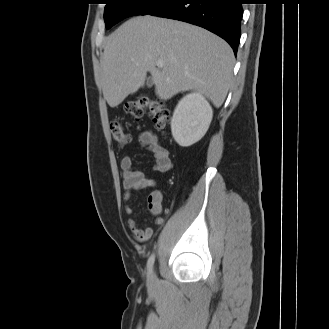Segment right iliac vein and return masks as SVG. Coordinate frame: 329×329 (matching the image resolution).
Listing matches in <instances>:
<instances>
[{
	"label": "right iliac vein",
	"mask_w": 329,
	"mask_h": 329,
	"mask_svg": "<svg viewBox=\"0 0 329 329\" xmlns=\"http://www.w3.org/2000/svg\"><path fill=\"white\" fill-rule=\"evenodd\" d=\"M148 282L150 285H154L156 283V275L154 272H151L148 276Z\"/></svg>",
	"instance_id": "obj_1"
}]
</instances>
